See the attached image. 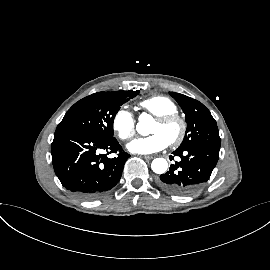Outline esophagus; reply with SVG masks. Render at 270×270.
I'll return each mask as SVG.
<instances>
[{"mask_svg":"<svg viewBox=\"0 0 270 270\" xmlns=\"http://www.w3.org/2000/svg\"><path fill=\"white\" fill-rule=\"evenodd\" d=\"M143 158L146 160H151L154 158V156L153 155H144Z\"/></svg>","mask_w":270,"mask_h":270,"instance_id":"obj_1","label":"esophagus"}]
</instances>
